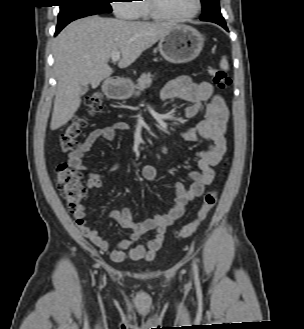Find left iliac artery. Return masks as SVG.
<instances>
[{
    "label": "left iliac artery",
    "mask_w": 304,
    "mask_h": 329,
    "mask_svg": "<svg viewBox=\"0 0 304 329\" xmlns=\"http://www.w3.org/2000/svg\"><path fill=\"white\" fill-rule=\"evenodd\" d=\"M193 269H194L195 274H198V266H197L195 260H194V262H193Z\"/></svg>",
    "instance_id": "left-iliac-artery-1"
}]
</instances>
